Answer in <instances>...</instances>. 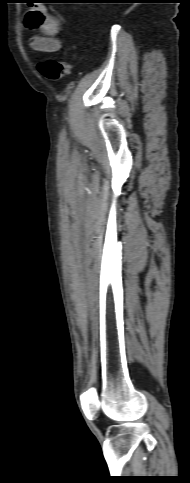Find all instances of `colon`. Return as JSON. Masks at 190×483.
<instances>
[{"label": "colon", "mask_w": 190, "mask_h": 483, "mask_svg": "<svg viewBox=\"0 0 190 483\" xmlns=\"http://www.w3.org/2000/svg\"><path fill=\"white\" fill-rule=\"evenodd\" d=\"M39 72L50 81H59L65 78L69 72V65L64 59H47L39 62Z\"/></svg>", "instance_id": "5ec220e1"}]
</instances>
